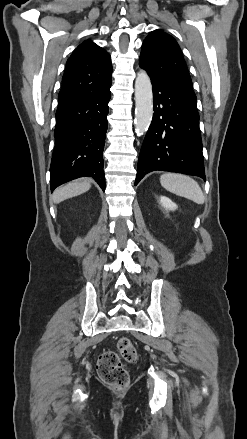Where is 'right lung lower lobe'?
Instances as JSON below:
<instances>
[{
	"instance_id": "right-lung-lower-lobe-1",
	"label": "right lung lower lobe",
	"mask_w": 247,
	"mask_h": 439,
	"mask_svg": "<svg viewBox=\"0 0 247 439\" xmlns=\"http://www.w3.org/2000/svg\"><path fill=\"white\" fill-rule=\"evenodd\" d=\"M110 86L58 104L56 144L50 167L51 191L82 176L93 177L105 189L103 150Z\"/></svg>"
}]
</instances>
